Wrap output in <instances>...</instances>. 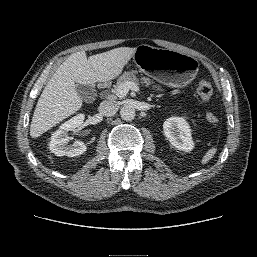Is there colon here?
<instances>
[{
  "label": "colon",
  "mask_w": 257,
  "mask_h": 257,
  "mask_svg": "<svg viewBox=\"0 0 257 257\" xmlns=\"http://www.w3.org/2000/svg\"><path fill=\"white\" fill-rule=\"evenodd\" d=\"M196 92L201 101L207 102L213 94V87L208 81L203 80L198 83ZM206 120L212 125L218 122L217 116L211 112L206 114Z\"/></svg>",
  "instance_id": "obj_1"
}]
</instances>
